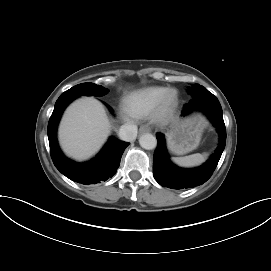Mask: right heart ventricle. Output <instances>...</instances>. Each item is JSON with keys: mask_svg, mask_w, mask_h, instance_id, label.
I'll return each mask as SVG.
<instances>
[{"mask_svg": "<svg viewBox=\"0 0 271 271\" xmlns=\"http://www.w3.org/2000/svg\"><path fill=\"white\" fill-rule=\"evenodd\" d=\"M167 90L163 86H149L131 92L123 100L124 108L133 117L145 116L154 110Z\"/></svg>", "mask_w": 271, "mask_h": 271, "instance_id": "e07e8e85", "label": "right heart ventricle"}]
</instances>
